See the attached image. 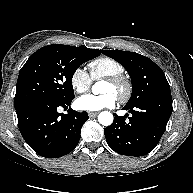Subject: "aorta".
Masks as SVG:
<instances>
[{
    "mask_svg": "<svg viewBox=\"0 0 193 193\" xmlns=\"http://www.w3.org/2000/svg\"><path fill=\"white\" fill-rule=\"evenodd\" d=\"M92 91L94 94L99 93L98 83L92 87ZM98 121L101 125L110 126L113 122V115L108 111H103L99 114Z\"/></svg>",
    "mask_w": 193,
    "mask_h": 193,
    "instance_id": "aorta-1",
    "label": "aorta"
}]
</instances>
